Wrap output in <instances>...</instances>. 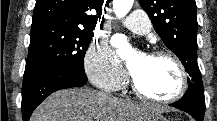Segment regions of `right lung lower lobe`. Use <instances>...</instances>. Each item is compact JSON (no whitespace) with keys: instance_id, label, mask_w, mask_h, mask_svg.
I'll return each mask as SVG.
<instances>
[{"instance_id":"1","label":"right lung lower lobe","mask_w":217,"mask_h":121,"mask_svg":"<svg viewBox=\"0 0 217 121\" xmlns=\"http://www.w3.org/2000/svg\"><path fill=\"white\" fill-rule=\"evenodd\" d=\"M86 82L85 73L60 66L24 73L21 104L23 121H28L34 109L51 93L60 89L81 87Z\"/></svg>"}]
</instances>
